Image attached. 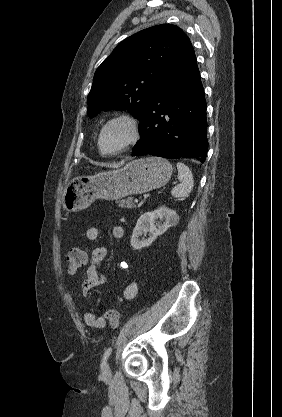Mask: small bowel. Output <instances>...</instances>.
I'll return each instance as SVG.
<instances>
[{
    "label": "small bowel",
    "instance_id": "1",
    "mask_svg": "<svg viewBox=\"0 0 282 417\" xmlns=\"http://www.w3.org/2000/svg\"><path fill=\"white\" fill-rule=\"evenodd\" d=\"M111 234L115 239H123L125 232L123 227L115 225L111 229ZM86 237L89 241L97 243L99 239V230L96 226H91L86 231ZM107 255V249L105 246L96 244L91 251V254L87 260V266L84 271L82 283H81V294L86 297L90 291L94 288L101 286L111 279L109 273L103 271L102 262ZM122 263V266H125ZM139 285L138 282L133 281L128 284L123 290V298L125 300H132L138 293ZM85 324L92 329H102L105 327V322L102 316H97L92 312H86L84 314Z\"/></svg>",
    "mask_w": 282,
    "mask_h": 417
}]
</instances>
